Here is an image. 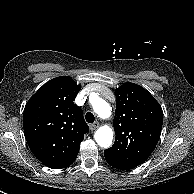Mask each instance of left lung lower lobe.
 <instances>
[{
  "instance_id": "1",
  "label": "left lung lower lobe",
  "mask_w": 194,
  "mask_h": 194,
  "mask_svg": "<svg viewBox=\"0 0 194 194\" xmlns=\"http://www.w3.org/2000/svg\"><path fill=\"white\" fill-rule=\"evenodd\" d=\"M106 161L114 168H117V169H121V170H130V169H133L134 167H130V166H127V165H124V164H121L109 157H105Z\"/></svg>"
}]
</instances>
